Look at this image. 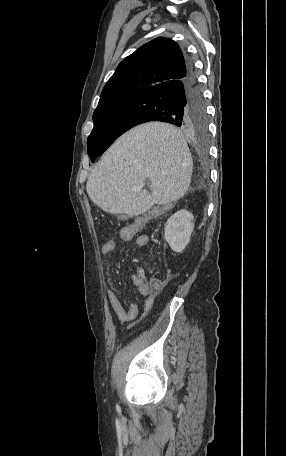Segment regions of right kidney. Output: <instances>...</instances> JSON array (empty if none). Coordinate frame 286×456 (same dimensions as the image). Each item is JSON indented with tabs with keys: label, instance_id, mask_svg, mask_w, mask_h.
<instances>
[{
	"label": "right kidney",
	"instance_id": "ca27d5eb",
	"mask_svg": "<svg viewBox=\"0 0 286 456\" xmlns=\"http://www.w3.org/2000/svg\"><path fill=\"white\" fill-rule=\"evenodd\" d=\"M194 217L187 210H180L166 222L164 239L175 252H182L190 241Z\"/></svg>",
	"mask_w": 286,
	"mask_h": 456
}]
</instances>
